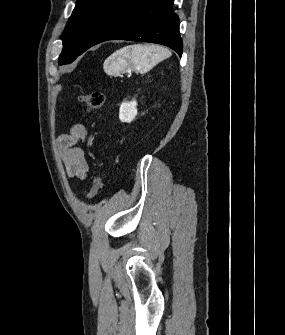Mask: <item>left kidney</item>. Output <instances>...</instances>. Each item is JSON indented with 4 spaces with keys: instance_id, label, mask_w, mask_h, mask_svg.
I'll use <instances>...</instances> for the list:
<instances>
[{
    "instance_id": "obj_1",
    "label": "left kidney",
    "mask_w": 285,
    "mask_h": 335,
    "mask_svg": "<svg viewBox=\"0 0 285 335\" xmlns=\"http://www.w3.org/2000/svg\"><path fill=\"white\" fill-rule=\"evenodd\" d=\"M136 106L137 102H135V100H132V102H123L119 110V120H121V122H127V124L135 120V116H137Z\"/></svg>"
}]
</instances>
